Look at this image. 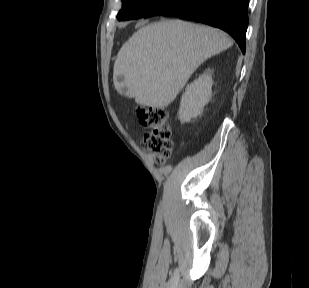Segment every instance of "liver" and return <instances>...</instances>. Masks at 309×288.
<instances>
[{
  "instance_id": "obj_1",
  "label": "liver",
  "mask_w": 309,
  "mask_h": 288,
  "mask_svg": "<svg viewBox=\"0 0 309 288\" xmlns=\"http://www.w3.org/2000/svg\"><path fill=\"white\" fill-rule=\"evenodd\" d=\"M233 45L219 29L181 20H164L137 30L118 52L113 83L144 106L164 108L194 71Z\"/></svg>"
}]
</instances>
